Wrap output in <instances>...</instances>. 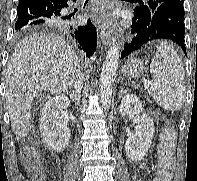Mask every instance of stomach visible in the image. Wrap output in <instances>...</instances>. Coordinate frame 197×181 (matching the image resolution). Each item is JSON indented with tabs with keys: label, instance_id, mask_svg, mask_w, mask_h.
I'll list each match as a JSON object with an SVG mask.
<instances>
[{
	"label": "stomach",
	"instance_id": "stomach-1",
	"mask_svg": "<svg viewBox=\"0 0 197 181\" xmlns=\"http://www.w3.org/2000/svg\"><path fill=\"white\" fill-rule=\"evenodd\" d=\"M146 65L137 58L127 60L122 66V75L127 79H137L144 75Z\"/></svg>",
	"mask_w": 197,
	"mask_h": 181
}]
</instances>
